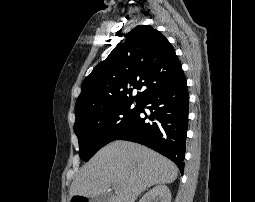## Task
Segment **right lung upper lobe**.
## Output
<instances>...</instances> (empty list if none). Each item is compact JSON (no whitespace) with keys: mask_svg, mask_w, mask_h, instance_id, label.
<instances>
[{"mask_svg":"<svg viewBox=\"0 0 255 202\" xmlns=\"http://www.w3.org/2000/svg\"><path fill=\"white\" fill-rule=\"evenodd\" d=\"M184 79L181 63L169 41L149 25L136 26L126 34L125 42H120L83 80L75 105L76 120L112 104L140 103ZM135 88L142 92L128 97Z\"/></svg>","mask_w":255,"mask_h":202,"instance_id":"cb5924a9","label":"right lung upper lobe"}]
</instances>
